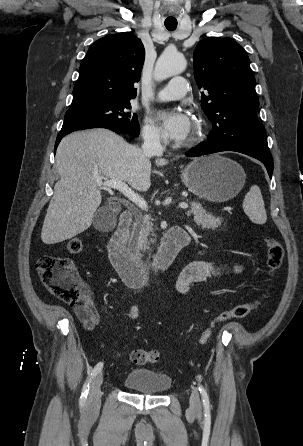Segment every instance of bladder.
Returning <instances> with one entry per match:
<instances>
[{
  "mask_svg": "<svg viewBox=\"0 0 303 446\" xmlns=\"http://www.w3.org/2000/svg\"><path fill=\"white\" fill-rule=\"evenodd\" d=\"M123 384L132 391L146 394H163L170 390L172 379L163 372L135 368L127 373Z\"/></svg>",
  "mask_w": 303,
  "mask_h": 446,
  "instance_id": "31cf9c89",
  "label": "bladder"
}]
</instances>
